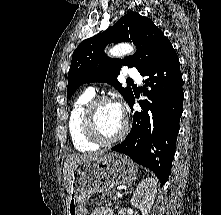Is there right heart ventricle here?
Instances as JSON below:
<instances>
[{
    "label": "right heart ventricle",
    "instance_id": "obj_1",
    "mask_svg": "<svg viewBox=\"0 0 221 215\" xmlns=\"http://www.w3.org/2000/svg\"><path fill=\"white\" fill-rule=\"evenodd\" d=\"M88 91L77 96L71 106L68 117V131L73 147L80 152L95 151L99 144L90 141L82 132L81 116L85 105L93 98Z\"/></svg>",
    "mask_w": 221,
    "mask_h": 215
}]
</instances>
